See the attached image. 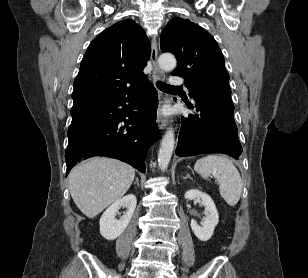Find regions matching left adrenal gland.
I'll use <instances>...</instances> for the list:
<instances>
[{
  "mask_svg": "<svg viewBox=\"0 0 308 278\" xmlns=\"http://www.w3.org/2000/svg\"><path fill=\"white\" fill-rule=\"evenodd\" d=\"M183 179H192L189 174L186 175Z\"/></svg>",
  "mask_w": 308,
  "mask_h": 278,
  "instance_id": "obj_1",
  "label": "left adrenal gland"
}]
</instances>
